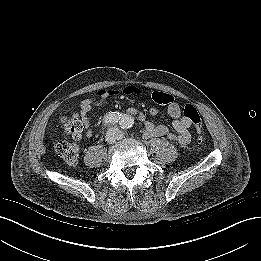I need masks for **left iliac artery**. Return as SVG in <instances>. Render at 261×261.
I'll return each instance as SVG.
<instances>
[{
	"label": "left iliac artery",
	"mask_w": 261,
	"mask_h": 261,
	"mask_svg": "<svg viewBox=\"0 0 261 261\" xmlns=\"http://www.w3.org/2000/svg\"><path fill=\"white\" fill-rule=\"evenodd\" d=\"M119 124L122 129H129L133 126L134 120L130 116L124 115L122 116Z\"/></svg>",
	"instance_id": "1"
}]
</instances>
